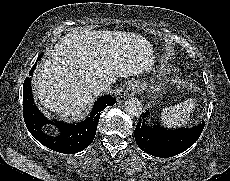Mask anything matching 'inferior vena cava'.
Masks as SVG:
<instances>
[{"label": "inferior vena cava", "mask_w": 230, "mask_h": 181, "mask_svg": "<svg viewBox=\"0 0 230 181\" xmlns=\"http://www.w3.org/2000/svg\"><path fill=\"white\" fill-rule=\"evenodd\" d=\"M112 80L96 81L91 85V92L93 95L98 96L104 92H108L111 89Z\"/></svg>", "instance_id": "602c4592"}]
</instances>
